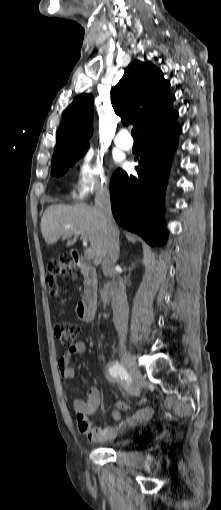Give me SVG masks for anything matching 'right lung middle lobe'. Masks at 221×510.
<instances>
[{
    "label": "right lung middle lobe",
    "instance_id": "obj_1",
    "mask_svg": "<svg viewBox=\"0 0 221 510\" xmlns=\"http://www.w3.org/2000/svg\"><path fill=\"white\" fill-rule=\"evenodd\" d=\"M87 148H75L52 159V173L57 176L64 174L69 167L86 153Z\"/></svg>",
    "mask_w": 221,
    "mask_h": 510
}]
</instances>
